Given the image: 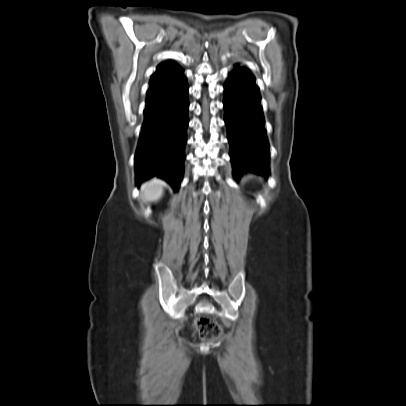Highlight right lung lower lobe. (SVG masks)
Wrapping results in <instances>:
<instances>
[{
  "instance_id": "98d812e1",
  "label": "right lung lower lobe",
  "mask_w": 406,
  "mask_h": 406,
  "mask_svg": "<svg viewBox=\"0 0 406 406\" xmlns=\"http://www.w3.org/2000/svg\"><path fill=\"white\" fill-rule=\"evenodd\" d=\"M188 84L177 66L147 93L144 122L135 156L136 180L157 176L179 189L184 172Z\"/></svg>"
}]
</instances>
